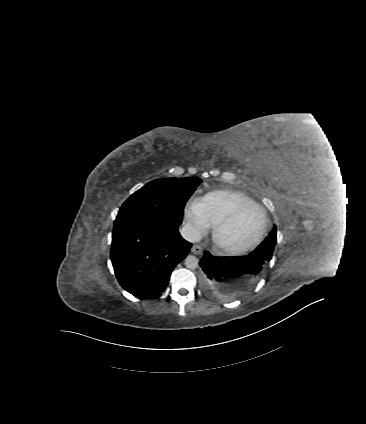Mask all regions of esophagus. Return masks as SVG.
I'll return each mask as SVG.
<instances>
[{
    "label": "esophagus",
    "instance_id": "1",
    "mask_svg": "<svg viewBox=\"0 0 366 424\" xmlns=\"http://www.w3.org/2000/svg\"><path fill=\"white\" fill-rule=\"evenodd\" d=\"M202 247L201 246H199V245H194L192 248H191V251L194 253V254H201L202 253Z\"/></svg>",
    "mask_w": 366,
    "mask_h": 424
}]
</instances>
